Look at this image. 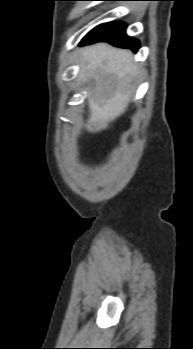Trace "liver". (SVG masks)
<instances>
[{
  "label": "liver",
  "mask_w": 193,
  "mask_h": 349,
  "mask_svg": "<svg viewBox=\"0 0 193 349\" xmlns=\"http://www.w3.org/2000/svg\"><path fill=\"white\" fill-rule=\"evenodd\" d=\"M80 62L79 80L83 83L94 80L88 93V126H94L91 131H100L126 109L135 90L139 66L129 50L107 43L84 47Z\"/></svg>",
  "instance_id": "1"
}]
</instances>
